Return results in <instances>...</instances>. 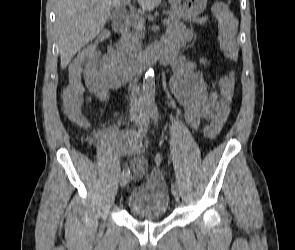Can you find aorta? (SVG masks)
Returning a JSON list of instances; mask_svg holds the SVG:
<instances>
[{
  "instance_id": "1",
  "label": "aorta",
  "mask_w": 295,
  "mask_h": 250,
  "mask_svg": "<svg viewBox=\"0 0 295 250\" xmlns=\"http://www.w3.org/2000/svg\"><path fill=\"white\" fill-rule=\"evenodd\" d=\"M143 100L147 107L155 105V76L153 69L146 72L143 80Z\"/></svg>"
}]
</instances>
